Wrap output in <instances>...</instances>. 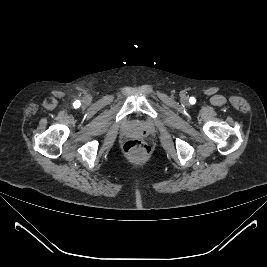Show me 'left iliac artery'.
<instances>
[{
  "label": "left iliac artery",
  "mask_w": 267,
  "mask_h": 267,
  "mask_svg": "<svg viewBox=\"0 0 267 267\" xmlns=\"http://www.w3.org/2000/svg\"><path fill=\"white\" fill-rule=\"evenodd\" d=\"M190 102L191 103H194L195 102V99L192 97V98H190Z\"/></svg>",
  "instance_id": "44dca946"
}]
</instances>
